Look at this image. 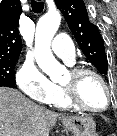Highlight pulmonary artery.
I'll list each match as a JSON object with an SVG mask.
<instances>
[{"instance_id": "pulmonary-artery-1", "label": "pulmonary artery", "mask_w": 117, "mask_h": 136, "mask_svg": "<svg viewBox=\"0 0 117 136\" xmlns=\"http://www.w3.org/2000/svg\"><path fill=\"white\" fill-rule=\"evenodd\" d=\"M52 51L67 62H73L75 58V47L71 39L62 33L54 38L51 44Z\"/></svg>"}]
</instances>
